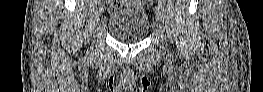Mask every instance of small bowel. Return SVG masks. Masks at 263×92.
<instances>
[{
    "mask_svg": "<svg viewBox=\"0 0 263 92\" xmlns=\"http://www.w3.org/2000/svg\"><path fill=\"white\" fill-rule=\"evenodd\" d=\"M140 4H142V5H145V4H147L149 1H138Z\"/></svg>",
    "mask_w": 263,
    "mask_h": 92,
    "instance_id": "c3829d8e",
    "label": "small bowel"
}]
</instances>
